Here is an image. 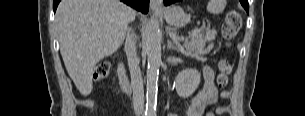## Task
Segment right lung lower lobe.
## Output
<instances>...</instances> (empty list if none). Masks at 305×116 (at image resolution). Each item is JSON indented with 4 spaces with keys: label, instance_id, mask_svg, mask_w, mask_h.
<instances>
[{
    "label": "right lung lower lobe",
    "instance_id": "right-lung-lower-lobe-1",
    "mask_svg": "<svg viewBox=\"0 0 305 116\" xmlns=\"http://www.w3.org/2000/svg\"><path fill=\"white\" fill-rule=\"evenodd\" d=\"M122 2L126 3L127 5L139 10L143 13H147L149 9V0H121ZM60 0L53 1V9L54 12L59 4Z\"/></svg>",
    "mask_w": 305,
    "mask_h": 116
}]
</instances>
